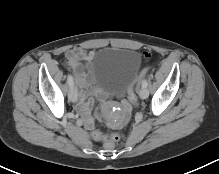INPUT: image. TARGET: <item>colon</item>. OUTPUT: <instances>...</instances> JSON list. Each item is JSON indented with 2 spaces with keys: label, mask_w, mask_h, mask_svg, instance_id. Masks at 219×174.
Listing matches in <instances>:
<instances>
[{
  "label": "colon",
  "mask_w": 219,
  "mask_h": 174,
  "mask_svg": "<svg viewBox=\"0 0 219 174\" xmlns=\"http://www.w3.org/2000/svg\"><path fill=\"white\" fill-rule=\"evenodd\" d=\"M148 72V69L142 70L136 78L132 81V83L129 86L128 89V100L130 101L131 104L137 105L138 104V99H137V87L140 83V80L146 75ZM92 138L98 141H104L105 145L108 149H111L114 147L115 143L118 142L121 138L122 135L119 133H114L110 135H104L102 132L95 130L91 134Z\"/></svg>",
  "instance_id": "1"
}]
</instances>
